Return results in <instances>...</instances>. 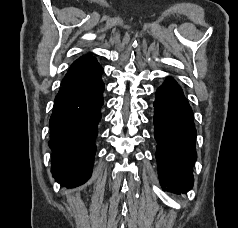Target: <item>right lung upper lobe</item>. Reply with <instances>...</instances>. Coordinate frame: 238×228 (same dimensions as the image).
<instances>
[{"label":"right lung upper lobe","mask_w":238,"mask_h":228,"mask_svg":"<svg viewBox=\"0 0 238 228\" xmlns=\"http://www.w3.org/2000/svg\"><path fill=\"white\" fill-rule=\"evenodd\" d=\"M102 72L103 68L92 55L82 56L73 62L62 80L61 86L91 80Z\"/></svg>","instance_id":"1"}]
</instances>
